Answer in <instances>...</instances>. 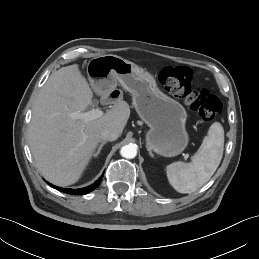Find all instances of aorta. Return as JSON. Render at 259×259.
<instances>
[{
  "label": "aorta",
  "mask_w": 259,
  "mask_h": 259,
  "mask_svg": "<svg viewBox=\"0 0 259 259\" xmlns=\"http://www.w3.org/2000/svg\"><path fill=\"white\" fill-rule=\"evenodd\" d=\"M120 154L124 158L132 159L136 156L137 149L133 145H125L120 149Z\"/></svg>",
  "instance_id": "762f6f07"
}]
</instances>
